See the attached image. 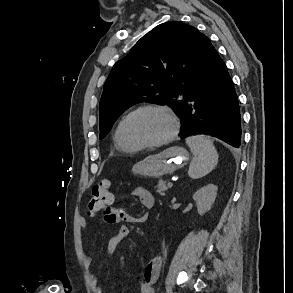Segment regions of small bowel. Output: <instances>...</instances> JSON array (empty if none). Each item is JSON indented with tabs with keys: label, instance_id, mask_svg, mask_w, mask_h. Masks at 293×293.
I'll return each mask as SVG.
<instances>
[{
	"label": "small bowel",
	"instance_id": "1",
	"mask_svg": "<svg viewBox=\"0 0 293 293\" xmlns=\"http://www.w3.org/2000/svg\"><path fill=\"white\" fill-rule=\"evenodd\" d=\"M131 195L135 198H137L141 204L146 209V213L142 216H133L126 211L113 207V200L110 207L104 212V219L107 223H122L118 232L112 236L106 247V251L109 255H112L115 253L118 245L122 242L123 239H125L129 233L130 229L127 225V223H138V222H144L147 220L149 216V212L154 207V197L152 194L145 189L144 187H136ZM82 229H87V224L85 221L81 222ZM84 262L87 267H90L92 265V255L88 252L83 253ZM163 264V258L162 256L158 255L154 257L144 268L142 276L139 279V289L140 293H155L154 284L156 283L161 268ZM90 281L95 288L97 293H103V288L98 284V279L96 276L91 275Z\"/></svg>",
	"mask_w": 293,
	"mask_h": 293
}]
</instances>
